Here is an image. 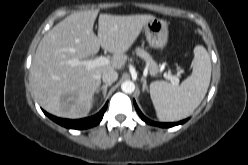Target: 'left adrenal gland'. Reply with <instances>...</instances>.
<instances>
[{
    "label": "left adrenal gland",
    "instance_id": "1",
    "mask_svg": "<svg viewBox=\"0 0 248 165\" xmlns=\"http://www.w3.org/2000/svg\"><path fill=\"white\" fill-rule=\"evenodd\" d=\"M141 80L143 81L142 91H143V92H144L145 90L148 91L146 79L142 77Z\"/></svg>",
    "mask_w": 248,
    "mask_h": 165
}]
</instances>
